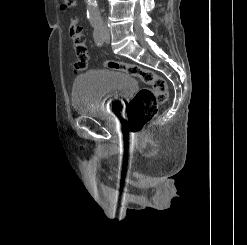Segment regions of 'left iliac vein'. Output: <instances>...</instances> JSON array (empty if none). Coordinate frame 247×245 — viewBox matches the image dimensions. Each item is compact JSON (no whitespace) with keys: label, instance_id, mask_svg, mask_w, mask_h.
I'll return each mask as SVG.
<instances>
[{"label":"left iliac vein","instance_id":"1","mask_svg":"<svg viewBox=\"0 0 247 245\" xmlns=\"http://www.w3.org/2000/svg\"><path fill=\"white\" fill-rule=\"evenodd\" d=\"M103 38H104L105 43L108 44L110 42V31L107 27L103 29Z\"/></svg>","mask_w":247,"mask_h":245}]
</instances>
